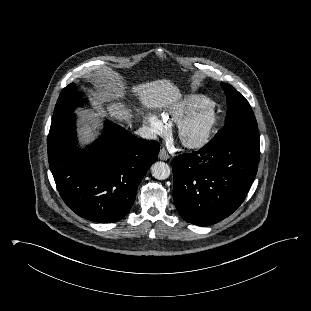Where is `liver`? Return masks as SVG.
<instances>
[{"mask_svg":"<svg viewBox=\"0 0 311 311\" xmlns=\"http://www.w3.org/2000/svg\"><path fill=\"white\" fill-rule=\"evenodd\" d=\"M128 89L134 96H136L140 102L148 108H165L168 106H174L179 100L182 99V93L179 88L174 85L169 79H161L155 81H147L132 87H125L120 85L119 89H115L117 95L122 94V90ZM112 99L115 97L112 96ZM110 98H104V102L107 103L105 112L110 115L111 118L118 121H125L131 124L132 115L130 110L122 102H113ZM94 117V114L88 113L84 116V126L81 128L82 136L90 138L92 131L97 128V125L92 124L90 121Z\"/></svg>","mask_w":311,"mask_h":311,"instance_id":"1","label":"liver"}]
</instances>
